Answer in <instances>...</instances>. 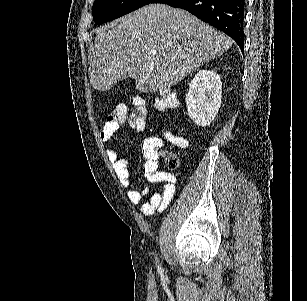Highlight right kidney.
I'll return each mask as SVG.
<instances>
[{
    "instance_id": "obj_1",
    "label": "right kidney",
    "mask_w": 307,
    "mask_h": 301,
    "mask_svg": "<svg viewBox=\"0 0 307 301\" xmlns=\"http://www.w3.org/2000/svg\"><path fill=\"white\" fill-rule=\"evenodd\" d=\"M222 98V80L215 70H199L189 82L185 94L187 112L198 126H208L214 120Z\"/></svg>"
}]
</instances>
